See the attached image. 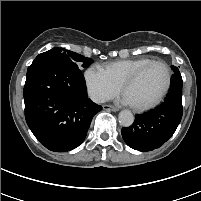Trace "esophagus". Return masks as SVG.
Segmentation results:
<instances>
[{"mask_svg": "<svg viewBox=\"0 0 201 201\" xmlns=\"http://www.w3.org/2000/svg\"><path fill=\"white\" fill-rule=\"evenodd\" d=\"M103 109L107 111H114V112L119 110L117 107H114L112 105H103Z\"/></svg>", "mask_w": 201, "mask_h": 201, "instance_id": "obj_1", "label": "esophagus"}]
</instances>
